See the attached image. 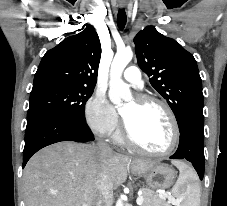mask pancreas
<instances>
[{"mask_svg":"<svg viewBox=\"0 0 227 206\" xmlns=\"http://www.w3.org/2000/svg\"><path fill=\"white\" fill-rule=\"evenodd\" d=\"M140 191L142 192V197L144 199L142 206H171L150 188H142Z\"/></svg>","mask_w":227,"mask_h":206,"instance_id":"cf45deb5","label":"pancreas"}]
</instances>
